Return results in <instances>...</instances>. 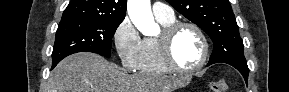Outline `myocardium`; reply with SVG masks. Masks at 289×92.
Listing matches in <instances>:
<instances>
[{"label":"myocardium","mask_w":289,"mask_h":92,"mask_svg":"<svg viewBox=\"0 0 289 92\" xmlns=\"http://www.w3.org/2000/svg\"><path fill=\"white\" fill-rule=\"evenodd\" d=\"M183 28H190L194 30L202 42V56L199 63L189 69H184L178 66L172 55V45L176 34ZM157 44L161 59L164 65L174 73L178 74H193L200 71L206 64L209 57V42L204 31L195 23L186 21H175L170 25L163 27L160 36L157 38Z\"/></svg>","instance_id":"f54148a6"}]
</instances>
